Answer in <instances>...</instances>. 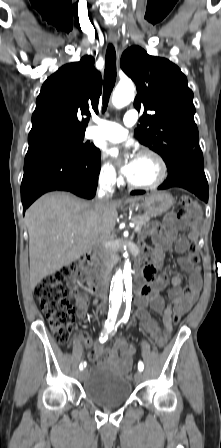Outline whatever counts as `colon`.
Masks as SVG:
<instances>
[{
  "instance_id": "colon-1",
  "label": "colon",
  "mask_w": 221,
  "mask_h": 448,
  "mask_svg": "<svg viewBox=\"0 0 221 448\" xmlns=\"http://www.w3.org/2000/svg\"><path fill=\"white\" fill-rule=\"evenodd\" d=\"M182 209L179 212L178 221L189 225L190 217L199 213L200 207L191 197H181ZM188 260L197 265L200 257L196 245L191 244L188 249ZM78 265L72 263L58 272L45 276L35 287L34 294L38 299L42 311L45 313L54 339L60 345H66L70 341L74 329L75 309L67 298L68 281L76 276ZM180 321L178 315L173 316V322Z\"/></svg>"
}]
</instances>
